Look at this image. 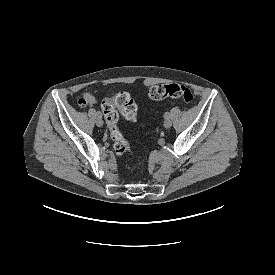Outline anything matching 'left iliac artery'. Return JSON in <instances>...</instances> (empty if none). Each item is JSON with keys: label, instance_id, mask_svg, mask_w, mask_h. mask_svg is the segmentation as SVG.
<instances>
[{"label": "left iliac artery", "instance_id": "1", "mask_svg": "<svg viewBox=\"0 0 275 275\" xmlns=\"http://www.w3.org/2000/svg\"><path fill=\"white\" fill-rule=\"evenodd\" d=\"M169 116H170V113L169 112H166L165 114H164V118H169Z\"/></svg>", "mask_w": 275, "mask_h": 275}]
</instances>
